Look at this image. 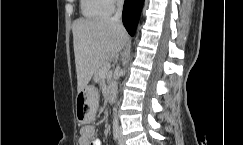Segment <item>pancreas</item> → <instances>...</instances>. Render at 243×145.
Segmentation results:
<instances>
[{"label": "pancreas", "mask_w": 243, "mask_h": 145, "mask_svg": "<svg viewBox=\"0 0 243 145\" xmlns=\"http://www.w3.org/2000/svg\"><path fill=\"white\" fill-rule=\"evenodd\" d=\"M108 61L105 60V59H102L100 62H99V65H98V68L95 72V81H100L101 78H102V75H105L106 73L104 72V69L107 65Z\"/></svg>", "instance_id": "cf45deb5"}]
</instances>
